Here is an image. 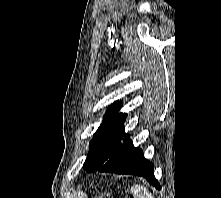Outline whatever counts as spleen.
Here are the masks:
<instances>
[{
    "label": "spleen",
    "instance_id": "spleen-1",
    "mask_svg": "<svg viewBox=\"0 0 221 198\" xmlns=\"http://www.w3.org/2000/svg\"><path fill=\"white\" fill-rule=\"evenodd\" d=\"M131 193L134 198H153L151 193L145 187L138 184L131 187Z\"/></svg>",
    "mask_w": 221,
    "mask_h": 198
}]
</instances>
